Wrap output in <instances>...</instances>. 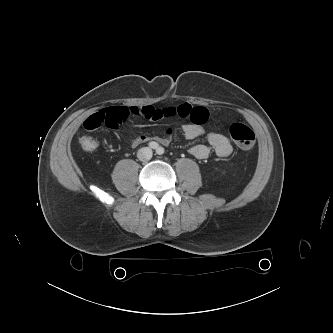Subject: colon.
I'll return each instance as SVG.
<instances>
[{
	"label": "colon",
	"instance_id": "obj_1",
	"mask_svg": "<svg viewBox=\"0 0 333 333\" xmlns=\"http://www.w3.org/2000/svg\"><path fill=\"white\" fill-rule=\"evenodd\" d=\"M229 135L237 146L243 150H250L255 145V134L251 128L243 123H233L229 127ZM79 144L84 151L91 152L97 148V141L91 136L79 138Z\"/></svg>",
	"mask_w": 333,
	"mask_h": 333
}]
</instances>
